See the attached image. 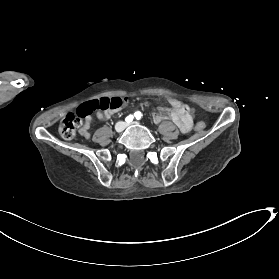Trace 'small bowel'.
Segmentation results:
<instances>
[{
  "label": "small bowel",
  "mask_w": 279,
  "mask_h": 279,
  "mask_svg": "<svg viewBox=\"0 0 279 279\" xmlns=\"http://www.w3.org/2000/svg\"><path fill=\"white\" fill-rule=\"evenodd\" d=\"M169 103L172 106V109L168 111H162L154 115V120L160 122L167 117H170L173 122L178 126L182 133H187L191 130L193 125L192 116L183 108L180 101L174 98H169ZM118 110H107L99 111L96 114V117L100 120H107L111 115ZM92 123V118L89 116L85 118L80 133L83 137L88 138L90 136V127Z\"/></svg>",
  "instance_id": "small-bowel-1"
}]
</instances>
